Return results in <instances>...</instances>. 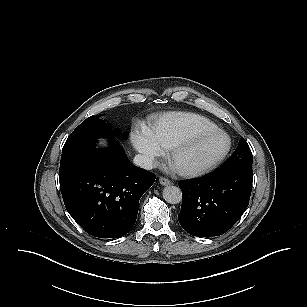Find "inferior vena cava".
Returning a JSON list of instances; mask_svg holds the SVG:
<instances>
[{"label": "inferior vena cava", "mask_w": 307, "mask_h": 307, "mask_svg": "<svg viewBox=\"0 0 307 307\" xmlns=\"http://www.w3.org/2000/svg\"><path fill=\"white\" fill-rule=\"evenodd\" d=\"M134 164L142 167L146 170H151L154 168L153 159L149 156L138 154L134 157Z\"/></svg>", "instance_id": "1"}]
</instances>
